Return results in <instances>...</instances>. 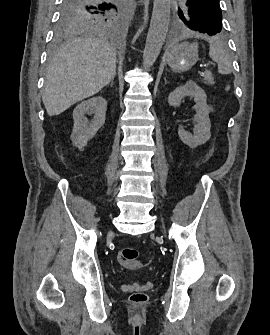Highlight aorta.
I'll use <instances>...</instances> for the list:
<instances>
[{
  "label": "aorta",
  "instance_id": "1",
  "mask_svg": "<svg viewBox=\"0 0 270 335\" xmlns=\"http://www.w3.org/2000/svg\"><path fill=\"white\" fill-rule=\"evenodd\" d=\"M171 0H154L150 28L143 52L144 68H151L157 60L168 32Z\"/></svg>",
  "mask_w": 270,
  "mask_h": 335
}]
</instances>
